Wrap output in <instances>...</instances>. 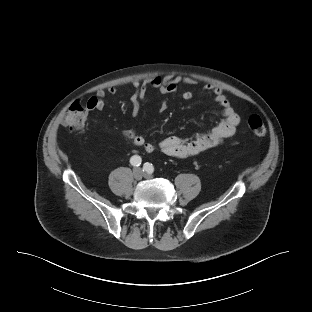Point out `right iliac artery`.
Returning <instances> with one entry per match:
<instances>
[{
  "instance_id": "obj_1",
  "label": "right iliac artery",
  "mask_w": 312,
  "mask_h": 312,
  "mask_svg": "<svg viewBox=\"0 0 312 312\" xmlns=\"http://www.w3.org/2000/svg\"><path fill=\"white\" fill-rule=\"evenodd\" d=\"M141 162H142V159L140 156L138 155H134L131 157L130 159V163L133 165V166H140L141 165Z\"/></svg>"
}]
</instances>
